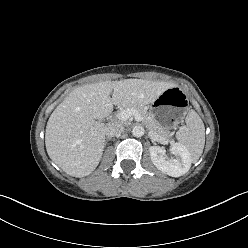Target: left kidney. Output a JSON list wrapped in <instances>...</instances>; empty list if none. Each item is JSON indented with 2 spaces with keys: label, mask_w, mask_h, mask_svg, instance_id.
Here are the masks:
<instances>
[{
  "label": "left kidney",
  "mask_w": 248,
  "mask_h": 248,
  "mask_svg": "<svg viewBox=\"0 0 248 248\" xmlns=\"http://www.w3.org/2000/svg\"><path fill=\"white\" fill-rule=\"evenodd\" d=\"M150 156L153 164L163 173L179 177L184 175L191 167V155L187 148L180 143H174L171 147V153L175 156L174 159L166 157L164 147L151 146L149 148Z\"/></svg>",
  "instance_id": "1"
}]
</instances>
